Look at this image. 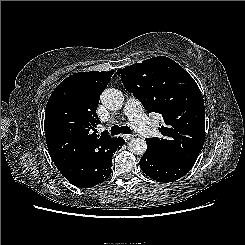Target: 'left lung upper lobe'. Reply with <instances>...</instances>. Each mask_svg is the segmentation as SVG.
<instances>
[{
	"instance_id": "left-lung-upper-lobe-1",
	"label": "left lung upper lobe",
	"mask_w": 245,
	"mask_h": 245,
	"mask_svg": "<svg viewBox=\"0 0 245 245\" xmlns=\"http://www.w3.org/2000/svg\"><path fill=\"white\" fill-rule=\"evenodd\" d=\"M117 74L148 113L163 116L162 136L146 139L147 150L163 158L195 162L204 144L205 107L194 79L165 56L119 69Z\"/></svg>"
}]
</instances>
